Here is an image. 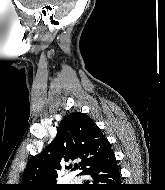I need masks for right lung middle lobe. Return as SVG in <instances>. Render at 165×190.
<instances>
[{
	"label": "right lung middle lobe",
	"instance_id": "1",
	"mask_svg": "<svg viewBox=\"0 0 165 190\" xmlns=\"http://www.w3.org/2000/svg\"><path fill=\"white\" fill-rule=\"evenodd\" d=\"M69 188L68 187H61V188H57L55 190H68ZM45 190H50V189H45ZM52 190V189H51Z\"/></svg>",
	"mask_w": 165,
	"mask_h": 190
}]
</instances>
